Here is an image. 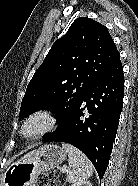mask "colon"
<instances>
[{
    "mask_svg": "<svg viewBox=\"0 0 138 186\" xmlns=\"http://www.w3.org/2000/svg\"><path fill=\"white\" fill-rule=\"evenodd\" d=\"M64 176L59 172H48L38 177L36 186H64Z\"/></svg>",
    "mask_w": 138,
    "mask_h": 186,
    "instance_id": "obj_1",
    "label": "colon"
}]
</instances>
